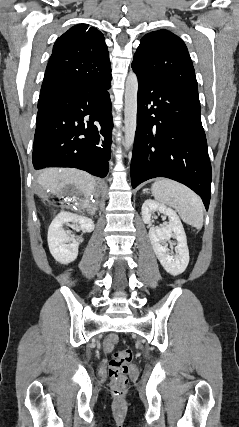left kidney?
I'll return each mask as SVG.
<instances>
[{
	"instance_id": "1",
	"label": "left kidney",
	"mask_w": 239,
	"mask_h": 427,
	"mask_svg": "<svg viewBox=\"0 0 239 427\" xmlns=\"http://www.w3.org/2000/svg\"><path fill=\"white\" fill-rule=\"evenodd\" d=\"M159 212L169 218V224L162 227L151 226L149 239L154 253L164 269L171 275H179L185 271L189 263V250L183 225L174 210L151 199L142 205V219L146 224H152V214ZM177 240L175 255L168 249V241L171 238Z\"/></svg>"
}]
</instances>
